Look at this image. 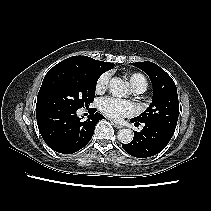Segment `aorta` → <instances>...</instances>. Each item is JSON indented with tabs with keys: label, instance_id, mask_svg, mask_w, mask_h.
Here are the masks:
<instances>
[{
	"label": "aorta",
	"instance_id": "aorta-1",
	"mask_svg": "<svg viewBox=\"0 0 211 211\" xmlns=\"http://www.w3.org/2000/svg\"><path fill=\"white\" fill-rule=\"evenodd\" d=\"M109 91L115 97H126L129 94L127 84L119 77H113L109 82ZM134 134L131 129H121L117 134L118 140L128 144L133 140Z\"/></svg>",
	"mask_w": 211,
	"mask_h": 211
}]
</instances>
